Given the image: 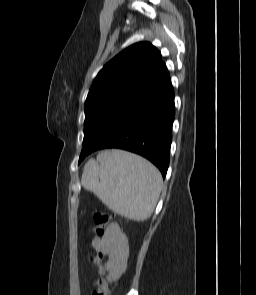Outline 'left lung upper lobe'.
Segmentation results:
<instances>
[{"mask_svg":"<svg viewBox=\"0 0 256 295\" xmlns=\"http://www.w3.org/2000/svg\"><path fill=\"white\" fill-rule=\"evenodd\" d=\"M170 82L160 52L148 42L136 43L115 56L98 73L85 101L82 150Z\"/></svg>","mask_w":256,"mask_h":295,"instance_id":"left-lung-upper-lobe-1","label":"left lung upper lobe"}]
</instances>
